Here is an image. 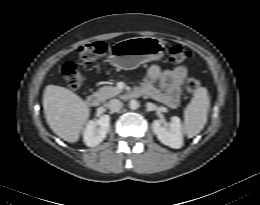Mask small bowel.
<instances>
[{
    "label": "small bowel",
    "instance_id": "small-bowel-1",
    "mask_svg": "<svg viewBox=\"0 0 260 205\" xmlns=\"http://www.w3.org/2000/svg\"><path fill=\"white\" fill-rule=\"evenodd\" d=\"M187 77V68L177 66L162 69L151 65L147 71V81L140 89L143 95L159 101L170 108L178 106L182 85Z\"/></svg>",
    "mask_w": 260,
    "mask_h": 205
}]
</instances>
